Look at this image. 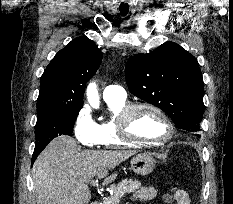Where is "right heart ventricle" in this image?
I'll return each instance as SVG.
<instances>
[{"label":"right heart ventricle","instance_id":"obj_1","mask_svg":"<svg viewBox=\"0 0 233 204\" xmlns=\"http://www.w3.org/2000/svg\"><path fill=\"white\" fill-rule=\"evenodd\" d=\"M106 103L111 112V118L98 124L99 145L106 148L131 145L120 138L117 126L119 114L128 105L126 99L108 100Z\"/></svg>","mask_w":233,"mask_h":204}]
</instances>
